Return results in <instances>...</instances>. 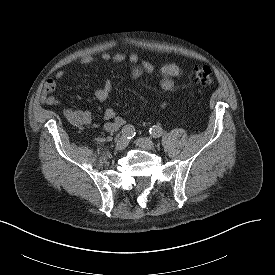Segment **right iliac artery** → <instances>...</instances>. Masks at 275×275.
Returning a JSON list of instances; mask_svg holds the SVG:
<instances>
[{"label":"right iliac artery","mask_w":275,"mask_h":275,"mask_svg":"<svg viewBox=\"0 0 275 275\" xmlns=\"http://www.w3.org/2000/svg\"><path fill=\"white\" fill-rule=\"evenodd\" d=\"M136 132H135V128L132 125H126L123 127L122 129V135L128 139H131L135 136ZM111 138H98L97 141L98 142H105V141H111Z\"/></svg>","instance_id":"82829eb1"}]
</instances>
